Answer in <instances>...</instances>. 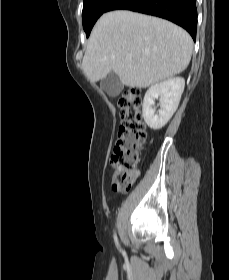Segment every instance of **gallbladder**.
Instances as JSON below:
<instances>
[{"mask_svg":"<svg viewBox=\"0 0 229 280\" xmlns=\"http://www.w3.org/2000/svg\"><path fill=\"white\" fill-rule=\"evenodd\" d=\"M100 87L109 96L116 97L121 92L123 85L118 75L114 72H110L104 79L101 80Z\"/></svg>","mask_w":229,"mask_h":280,"instance_id":"bac80fb5","label":"gallbladder"}]
</instances>
